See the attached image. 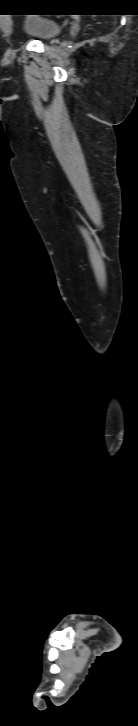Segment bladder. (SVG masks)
<instances>
[{"label":"bladder","mask_w":138,"mask_h":726,"mask_svg":"<svg viewBox=\"0 0 138 726\" xmlns=\"http://www.w3.org/2000/svg\"><path fill=\"white\" fill-rule=\"evenodd\" d=\"M28 18L23 25V32L35 39L49 40L59 36L63 31V24L53 18L34 15Z\"/></svg>","instance_id":"31cf9c89"}]
</instances>
